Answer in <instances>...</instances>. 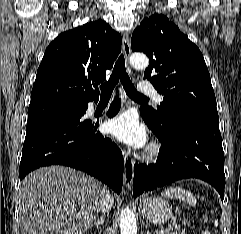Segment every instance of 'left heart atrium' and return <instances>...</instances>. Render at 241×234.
<instances>
[{
	"instance_id": "39dd6f15",
	"label": "left heart atrium",
	"mask_w": 241,
	"mask_h": 234,
	"mask_svg": "<svg viewBox=\"0 0 241 234\" xmlns=\"http://www.w3.org/2000/svg\"><path fill=\"white\" fill-rule=\"evenodd\" d=\"M109 132L119 141L134 147L142 148L146 144L145 128L132 112H123L108 123Z\"/></svg>"
}]
</instances>
